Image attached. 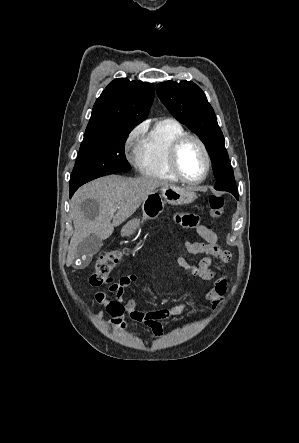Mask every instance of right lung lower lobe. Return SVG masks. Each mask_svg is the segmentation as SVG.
Instances as JSON below:
<instances>
[{"instance_id":"right-lung-lower-lobe-1","label":"right lung lower lobe","mask_w":299,"mask_h":443,"mask_svg":"<svg viewBox=\"0 0 299 443\" xmlns=\"http://www.w3.org/2000/svg\"><path fill=\"white\" fill-rule=\"evenodd\" d=\"M78 188H70V198Z\"/></svg>"}]
</instances>
